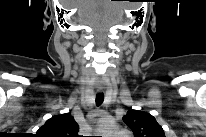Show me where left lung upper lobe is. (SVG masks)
Returning <instances> with one entry per match:
<instances>
[{
    "mask_svg": "<svg viewBox=\"0 0 206 137\" xmlns=\"http://www.w3.org/2000/svg\"><path fill=\"white\" fill-rule=\"evenodd\" d=\"M123 121L135 137H165L164 130L149 113L131 109L123 117Z\"/></svg>",
    "mask_w": 206,
    "mask_h": 137,
    "instance_id": "left-lung-upper-lobe-1",
    "label": "left lung upper lobe"
}]
</instances>
